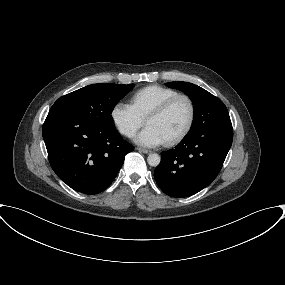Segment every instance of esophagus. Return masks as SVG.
<instances>
[{"instance_id":"1","label":"esophagus","mask_w":285,"mask_h":285,"mask_svg":"<svg viewBox=\"0 0 285 285\" xmlns=\"http://www.w3.org/2000/svg\"><path fill=\"white\" fill-rule=\"evenodd\" d=\"M139 152H142L144 154H150L152 151L144 148H136Z\"/></svg>"}]
</instances>
